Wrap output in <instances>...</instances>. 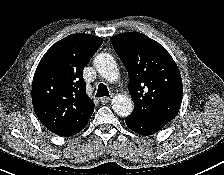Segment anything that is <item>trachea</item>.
Segmentation results:
<instances>
[{
  "label": "trachea",
  "instance_id": "1",
  "mask_svg": "<svg viewBox=\"0 0 224 175\" xmlns=\"http://www.w3.org/2000/svg\"><path fill=\"white\" fill-rule=\"evenodd\" d=\"M104 96H109V91L103 83H100L98 86V90L96 93V97H104Z\"/></svg>",
  "mask_w": 224,
  "mask_h": 175
}]
</instances>
